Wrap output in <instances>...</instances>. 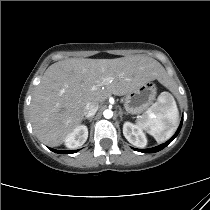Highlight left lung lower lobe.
I'll list each match as a JSON object with an SVG mask.
<instances>
[{
    "label": "left lung lower lobe",
    "instance_id": "left-lung-lower-lobe-1",
    "mask_svg": "<svg viewBox=\"0 0 210 210\" xmlns=\"http://www.w3.org/2000/svg\"><path fill=\"white\" fill-rule=\"evenodd\" d=\"M181 127H182V121H181V124H180L178 130L176 131L175 135L170 140H168L167 142H165L164 144H161V145H159L157 147L150 148V149H143V150H141V149H134V150H137V151L143 152V153H154V152H158V151L162 150L163 148H165L178 135V133L180 132Z\"/></svg>",
    "mask_w": 210,
    "mask_h": 210
}]
</instances>
